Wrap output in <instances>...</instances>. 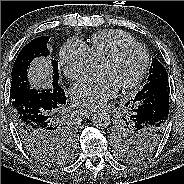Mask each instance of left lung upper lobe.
<instances>
[{"mask_svg":"<svg viewBox=\"0 0 184 184\" xmlns=\"http://www.w3.org/2000/svg\"><path fill=\"white\" fill-rule=\"evenodd\" d=\"M160 86H169L168 74L163 65L156 58H152L147 83L138 93L155 89V94L161 96L162 91L158 88ZM128 106L131 108V102ZM132 112L131 109L130 113L118 118L111 130L118 156L127 161L139 160L150 155L161 142L151 129L140 127L135 123Z\"/></svg>","mask_w":184,"mask_h":184,"instance_id":"left-lung-upper-lobe-1","label":"left lung upper lobe"}]
</instances>
